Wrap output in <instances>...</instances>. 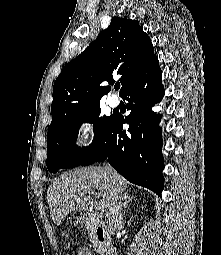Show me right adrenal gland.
<instances>
[{
    "instance_id": "1",
    "label": "right adrenal gland",
    "mask_w": 221,
    "mask_h": 255,
    "mask_svg": "<svg viewBox=\"0 0 221 255\" xmlns=\"http://www.w3.org/2000/svg\"><path fill=\"white\" fill-rule=\"evenodd\" d=\"M133 196H130L128 193V190H126L124 192V202H123V214H125L126 208L128 206V204L130 203V201L132 200Z\"/></svg>"
}]
</instances>
